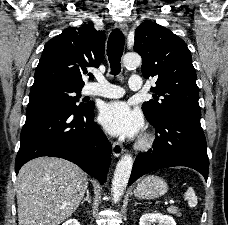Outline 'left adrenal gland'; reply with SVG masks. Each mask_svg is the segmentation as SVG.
<instances>
[{
	"mask_svg": "<svg viewBox=\"0 0 228 225\" xmlns=\"http://www.w3.org/2000/svg\"><path fill=\"white\" fill-rule=\"evenodd\" d=\"M136 205H140V203H136ZM136 205H135V207H136Z\"/></svg>",
	"mask_w": 228,
	"mask_h": 225,
	"instance_id": "left-adrenal-gland-1",
	"label": "left adrenal gland"
}]
</instances>
